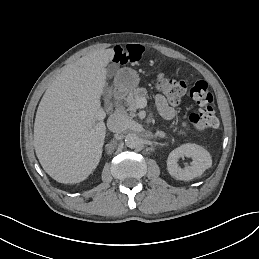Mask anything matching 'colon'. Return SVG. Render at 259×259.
<instances>
[{
    "label": "colon",
    "mask_w": 259,
    "mask_h": 259,
    "mask_svg": "<svg viewBox=\"0 0 259 259\" xmlns=\"http://www.w3.org/2000/svg\"><path fill=\"white\" fill-rule=\"evenodd\" d=\"M157 87L174 104L179 103L182 96L189 93L199 107L196 112L190 115V121L196 130L203 131L218 126L219 121L213 107V96L207 82L202 78H197L190 85H187L183 80L159 75Z\"/></svg>",
    "instance_id": "colon-1"
}]
</instances>
